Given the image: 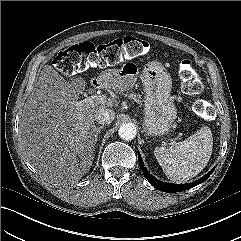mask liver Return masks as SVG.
<instances>
[{"instance_id":"obj_1","label":"liver","mask_w":241,"mask_h":241,"mask_svg":"<svg viewBox=\"0 0 241 241\" xmlns=\"http://www.w3.org/2000/svg\"><path fill=\"white\" fill-rule=\"evenodd\" d=\"M108 85L120 89L114 83ZM76 88L73 80L66 81L45 65L19 125L27 160L44 180L58 186L77 182L89 171L95 149L94 114L115 104L110 99L104 104L78 101Z\"/></svg>"}]
</instances>
